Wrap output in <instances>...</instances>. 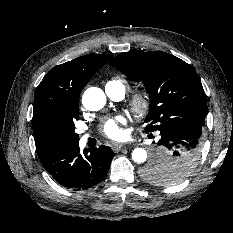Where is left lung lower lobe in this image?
<instances>
[{"instance_id": "0a47b994", "label": "left lung lower lobe", "mask_w": 233, "mask_h": 233, "mask_svg": "<svg viewBox=\"0 0 233 233\" xmlns=\"http://www.w3.org/2000/svg\"><path fill=\"white\" fill-rule=\"evenodd\" d=\"M204 125L205 122L200 121L177 120L160 127L158 131L161 137L156 143L159 148L152 162L165 165L182 157L198 161Z\"/></svg>"}]
</instances>
